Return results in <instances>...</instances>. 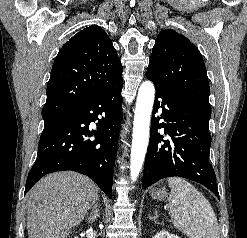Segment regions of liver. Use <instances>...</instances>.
I'll return each instance as SVG.
<instances>
[{
	"instance_id": "obj_1",
	"label": "liver",
	"mask_w": 247,
	"mask_h": 238,
	"mask_svg": "<svg viewBox=\"0 0 247 238\" xmlns=\"http://www.w3.org/2000/svg\"><path fill=\"white\" fill-rule=\"evenodd\" d=\"M98 199V188L88 177L73 171L41 179L28 200V238H67Z\"/></svg>"
}]
</instances>
